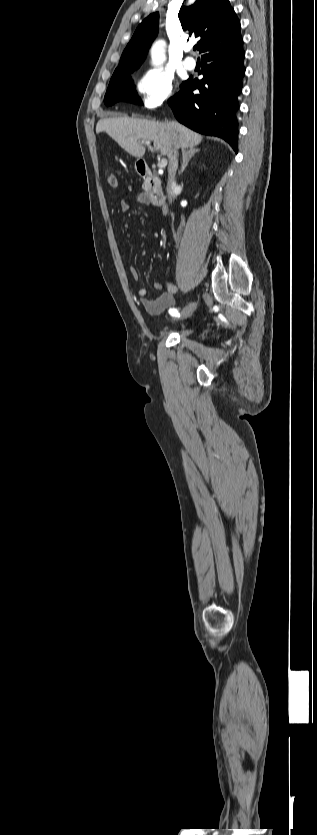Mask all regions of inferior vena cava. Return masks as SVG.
I'll use <instances>...</instances> for the list:
<instances>
[{
    "label": "inferior vena cava",
    "mask_w": 317,
    "mask_h": 835,
    "mask_svg": "<svg viewBox=\"0 0 317 835\" xmlns=\"http://www.w3.org/2000/svg\"><path fill=\"white\" fill-rule=\"evenodd\" d=\"M177 146L174 145L172 153L169 155V166H168V174L169 180L167 183V194L168 200L171 203L172 200L175 199V189H176V182H175V173L178 168V151Z\"/></svg>",
    "instance_id": "1"
}]
</instances>
